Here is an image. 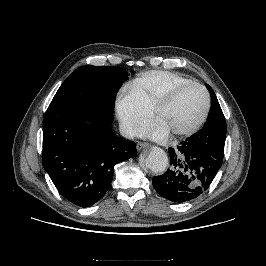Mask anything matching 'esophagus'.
<instances>
[{
	"mask_svg": "<svg viewBox=\"0 0 266 266\" xmlns=\"http://www.w3.org/2000/svg\"><path fill=\"white\" fill-rule=\"evenodd\" d=\"M150 145L148 143L145 142H138L136 145V148L138 151H140L141 149L145 148V147H149Z\"/></svg>",
	"mask_w": 266,
	"mask_h": 266,
	"instance_id": "34e87169",
	"label": "esophagus"
}]
</instances>
